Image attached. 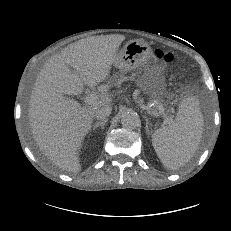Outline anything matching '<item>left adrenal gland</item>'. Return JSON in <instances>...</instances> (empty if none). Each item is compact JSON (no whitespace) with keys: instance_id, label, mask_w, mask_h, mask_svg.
Returning <instances> with one entry per match:
<instances>
[{"instance_id":"a2214340","label":"left adrenal gland","mask_w":231,"mask_h":231,"mask_svg":"<svg viewBox=\"0 0 231 231\" xmlns=\"http://www.w3.org/2000/svg\"><path fill=\"white\" fill-rule=\"evenodd\" d=\"M145 121H146V132H147L148 134H150V130H149V121H148V119H147L146 116H145Z\"/></svg>"}]
</instances>
